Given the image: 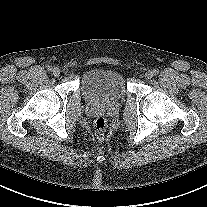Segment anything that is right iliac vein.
I'll return each instance as SVG.
<instances>
[{
    "label": "right iliac vein",
    "instance_id": "1",
    "mask_svg": "<svg viewBox=\"0 0 207 207\" xmlns=\"http://www.w3.org/2000/svg\"><path fill=\"white\" fill-rule=\"evenodd\" d=\"M53 75L56 76V77H59L60 76V69L54 68L53 69Z\"/></svg>",
    "mask_w": 207,
    "mask_h": 207
}]
</instances>
